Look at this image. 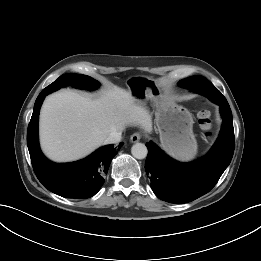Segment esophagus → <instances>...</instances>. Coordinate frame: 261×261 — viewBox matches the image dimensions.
<instances>
[{
    "label": "esophagus",
    "mask_w": 261,
    "mask_h": 261,
    "mask_svg": "<svg viewBox=\"0 0 261 261\" xmlns=\"http://www.w3.org/2000/svg\"><path fill=\"white\" fill-rule=\"evenodd\" d=\"M141 137H142L141 134H140L139 132H136V133H134V134L131 135L130 141H131L132 143L139 142L140 139H141Z\"/></svg>",
    "instance_id": "1"
}]
</instances>
